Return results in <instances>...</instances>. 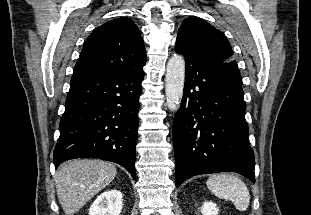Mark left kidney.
I'll return each mask as SVG.
<instances>
[{"label":"left kidney","instance_id":"1","mask_svg":"<svg viewBox=\"0 0 311 215\" xmlns=\"http://www.w3.org/2000/svg\"><path fill=\"white\" fill-rule=\"evenodd\" d=\"M219 208L217 205L211 201L204 202L201 213L202 215H218Z\"/></svg>","mask_w":311,"mask_h":215}]
</instances>
